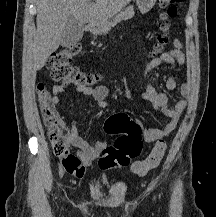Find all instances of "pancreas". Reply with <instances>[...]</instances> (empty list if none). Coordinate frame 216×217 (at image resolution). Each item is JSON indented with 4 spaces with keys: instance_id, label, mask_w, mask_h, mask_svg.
<instances>
[{
    "instance_id": "1",
    "label": "pancreas",
    "mask_w": 216,
    "mask_h": 217,
    "mask_svg": "<svg viewBox=\"0 0 216 217\" xmlns=\"http://www.w3.org/2000/svg\"><path fill=\"white\" fill-rule=\"evenodd\" d=\"M134 16V8L133 6H128L124 11H121L118 15H116L113 18V21L109 22V21H105L102 23V27L104 29V31H102L101 33H106L108 31V29L115 24L116 22L120 21V20H126V19H130Z\"/></svg>"
}]
</instances>
